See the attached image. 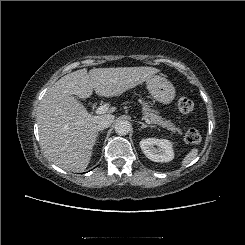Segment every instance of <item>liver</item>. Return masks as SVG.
Returning a JSON list of instances; mask_svg holds the SVG:
<instances>
[{
  "instance_id": "liver-1",
  "label": "liver",
  "mask_w": 245,
  "mask_h": 245,
  "mask_svg": "<svg viewBox=\"0 0 245 245\" xmlns=\"http://www.w3.org/2000/svg\"><path fill=\"white\" fill-rule=\"evenodd\" d=\"M158 72L148 66L93 68L89 73L80 69L60 78L48 88L39 107L37 122L44 153L64 170H85L96 142L99 116L89 114L74 95L85 99L94 90L98 96H119Z\"/></svg>"
}]
</instances>
